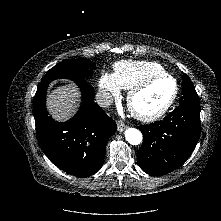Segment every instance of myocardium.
Here are the masks:
<instances>
[{
	"instance_id": "1",
	"label": "myocardium",
	"mask_w": 221,
	"mask_h": 221,
	"mask_svg": "<svg viewBox=\"0 0 221 221\" xmlns=\"http://www.w3.org/2000/svg\"><path fill=\"white\" fill-rule=\"evenodd\" d=\"M161 79H169L173 82V92L170 96V98L168 99V101L157 111L152 112V113H142L140 111H138L135 107H134V100L135 98L142 93L143 91H145L148 87H150L153 83H155L158 80ZM178 95V84L176 79L171 76L168 73H163V74H158L155 76H152L148 79H146L145 81H143L142 83L138 84L137 86H135L134 88H132L127 95V105L129 108V111L132 113V115L137 118L140 121L143 122H152L155 121L157 119H159L160 117H162L173 105V103L175 102L176 98Z\"/></svg>"
}]
</instances>
